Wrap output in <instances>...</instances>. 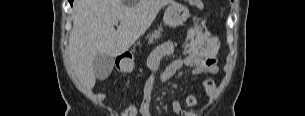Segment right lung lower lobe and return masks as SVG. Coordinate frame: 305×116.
Returning a JSON list of instances; mask_svg holds the SVG:
<instances>
[{"instance_id":"98d812e1","label":"right lung lower lobe","mask_w":305,"mask_h":116,"mask_svg":"<svg viewBox=\"0 0 305 116\" xmlns=\"http://www.w3.org/2000/svg\"><path fill=\"white\" fill-rule=\"evenodd\" d=\"M70 4H72L73 0H69Z\"/></svg>"}]
</instances>
